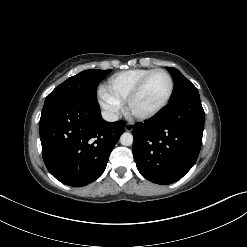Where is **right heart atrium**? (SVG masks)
<instances>
[{
	"label": "right heart atrium",
	"instance_id": "right-heart-atrium-1",
	"mask_svg": "<svg viewBox=\"0 0 247 247\" xmlns=\"http://www.w3.org/2000/svg\"><path fill=\"white\" fill-rule=\"evenodd\" d=\"M98 95L100 105L110 116L115 117L122 111V103L112 96L106 89H100Z\"/></svg>",
	"mask_w": 247,
	"mask_h": 247
}]
</instances>
